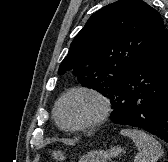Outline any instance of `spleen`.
Segmentation results:
<instances>
[{
  "mask_svg": "<svg viewBox=\"0 0 168 162\" xmlns=\"http://www.w3.org/2000/svg\"><path fill=\"white\" fill-rule=\"evenodd\" d=\"M120 133L131 138L139 149L134 162H156L164 153L160 143L142 130L122 129Z\"/></svg>",
  "mask_w": 168,
  "mask_h": 162,
  "instance_id": "3e777b00",
  "label": "spleen"
}]
</instances>
